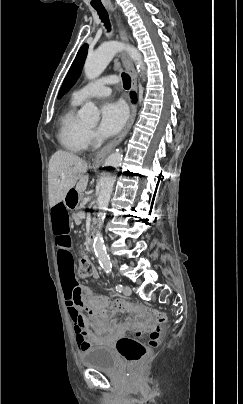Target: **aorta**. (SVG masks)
I'll use <instances>...</instances> for the list:
<instances>
[{"instance_id":"762f6f07","label":"aorta","mask_w":243,"mask_h":404,"mask_svg":"<svg viewBox=\"0 0 243 404\" xmlns=\"http://www.w3.org/2000/svg\"><path fill=\"white\" fill-rule=\"evenodd\" d=\"M118 52H127L129 58L135 62L137 70H139V68L140 70H145L142 56L137 48H133V46H129V44H124V42H104L95 52L88 54L84 64L86 78H88V80L98 78ZM78 116L81 122H85V124L97 126L99 122L98 108H96L93 102H88V104L82 106L81 110L78 112ZM122 160L123 156L119 150L118 152H114V154H110L107 160L104 161L100 172L101 190L97 198L96 217L98 218V222L93 248L105 272L111 270V264L107 254H105L101 228L103 226V219L107 217L108 204L113 192L114 183L116 182V170H119Z\"/></svg>"}]
</instances>
